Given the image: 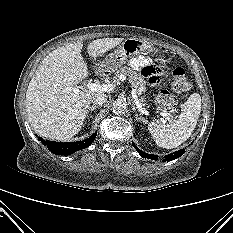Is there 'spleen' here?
<instances>
[{
    "label": "spleen",
    "instance_id": "3e777b00",
    "mask_svg": "<svg viewBox=\"0 0 233 233\" xmlns=\"http://www.w3.org/2000/svg\"><path fill=\"white\" fill-rule=\"evenodd\" d=\"M200 112L201 96L194 93L182 105L181 114L169 124L152 121L148 124V130L159 147L176 148L190 137L197 125Z\"/></svg>",
    "mask_w": 233,
    "mask_h": 233
}]
</instances>
